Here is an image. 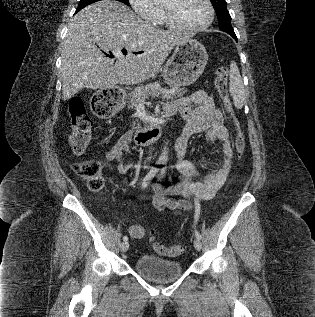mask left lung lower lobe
<instances>
[{"instance_id":"obj_1","label":"left lung lower lobe","mask_w":315,"mask_h":317,"mask_svg":"<svg viewBox=\"0 0 315 317\" xmlns=\"http://www.w3.org/2000/svg\"><path fill=\"white\" fill-rule=\"evenodd\" d=\"M231 36L237 41L236 34L235 35H231Z\"/></svg>"}]
</instances>
